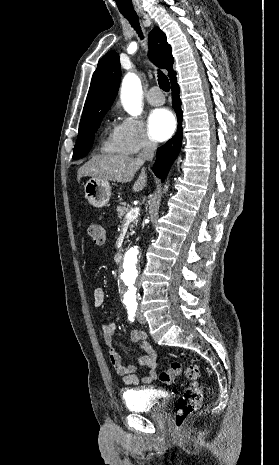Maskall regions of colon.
<instances>
[{"instance_id":"colon-1","label":"colon","mask_w":279,"mask_h":465,"mask_svg":"<svg viewBox=\"0 0 279 465\" xmlns=\"http://www.w3.org/2000/svg\"><path fill=\"white\" fill-rule=\"evenodd\" d=\"M88 234L96 244H102L106 237V227L101 223H93L88 228ZM181 374L185 375L189 384L176 403L174 425L178 431L182 430L188 417L200 407L203 399L199 367L196 364H189L183 369L179 362H172L167 370L159 373L158 378L163 384L171 385L175 377Z\"/></svg>"}]
</instances>
